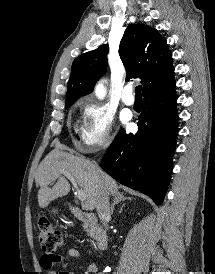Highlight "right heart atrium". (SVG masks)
Masks as SVG:
<instances>
[{"instance_id": "right-heart-atrium-1", "label": "right heart atrium", "mask_w": 215, "mask_h": 274, "mask_svg": "<svg viewBox=\"0 0 215 274\" xmlns=\"http://www.w3.org/2000/svg\"><path fill=\"white\" fill-rule=\"evenodd\" d=\"M82 125L78 148L91 151L105 148L113 139V115L102 104L86 99L80 104Z\"/></svg>"}]
</instances>
